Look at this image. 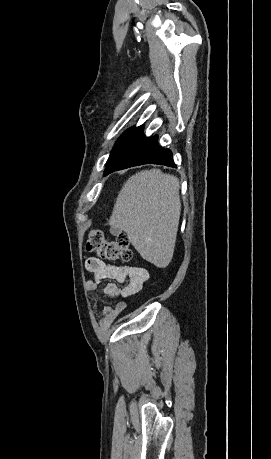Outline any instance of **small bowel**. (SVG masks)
Returning <instances> with one entry per match:
<instances>
[{
  "mask_svg": "<svg viewBox=\"0 0 271 459\" xmlns=\"http://www.w3.org/2000/svg\"><path fill=\"white\" fill-rule=\"evenodd\" d=\"M86 269L90 279L86 283L91 293H101L107 298L128 297L139 292L149 278L148 271L137 266H119L106 264L102 260L91 257L86 261ZM113 280L100 290V284L105 280ZM118 284H124L119 286ZM126 303L118 302L115 306H106L100 320V329L111 326L114 320L126 310Z\"/></svg>",
  "mask_w": 271,
  "mask_h": 459,
  "instance_id": "obj_1",
  "label": "small bowel"
}]
</instances>
